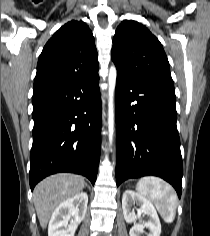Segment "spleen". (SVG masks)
<instances>
[{"instance_id":"3e777b00","label":"spleen","mask_w":210,"mask_h":236,"mask_svg":"<svg viewBox=\"0 0 210 236\" xmlns=\"http://www.w3.org/2000/svg\"><path fill=\"white\" fill-rule=\"evenodd\" d=\"M138 193L154 203L166 223H172L177 207V195L173 188L158 177L146 176L137 185Z\"/></svg>"}]
</instances>
